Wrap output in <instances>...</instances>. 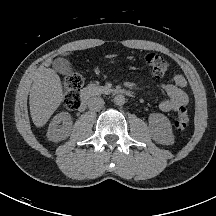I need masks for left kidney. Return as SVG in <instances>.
I'll list each match as a JSON object with an SVG mask.
<instances>
[{"label": "left kidney", "mask_w": 216, "mask_h": 216, "mask_svg": "<svg viewBox=\"0 0 216 216\" xmlns=\"http://www.w3.org/2000/svg\"><path fill=\"white\" fill-rule=\"evenodd\" d=\"M149 132L152 139L162 145H172L174 135L169 119L161 113L149 115Z\"/></svg>", "instance_id": "1"}]
</instances>
